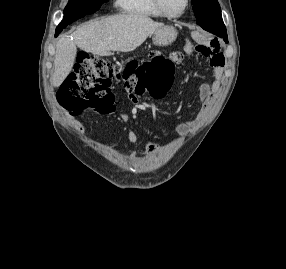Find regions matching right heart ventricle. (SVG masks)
<instances>
[{
  "label": "right heart ventricle",
  "mask_w": 286,
  "mask_h": 269,
  "mask_svg": "<svg viewBox=\"0 0 286 269\" xmlns=\"http://www.w3.org/2000/svg\"><path fill=\"white\" fill-rule=\"evenodd\" d=\"M116 7L122 13L144 18H160L161 13L156 9L153 0H116Z\"/></svg>",
  "instance_id": "1"
}]
</instances>
